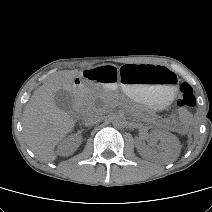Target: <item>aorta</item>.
<instances>
[{
	"mask_svg": "<svg viewBox=\"0 0 212 212\" xmlns=\"http://www.w3.org/2000/svg\"><path fill=\"white\" fill-rule=\"evenodd\" d=\"M126 119L122 115H116L112 119V124L115 128H124L126 126Z\"/></svg>",
	"mask_w": 212,
	"mask_h": 212,
	"instance_id": "obj_1",
	"label": "aorta"
}]
</instances>
